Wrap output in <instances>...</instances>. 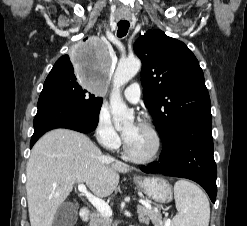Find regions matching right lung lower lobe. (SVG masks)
<instances>
[{
	"label": "right lung lower lobe",
	"instance_id": "98d812e1",
	"mask_svg": "<svg viewBox=\"0 0 247 226\" xmlns=\"http://www.w3.org/2000/svg\"><path fill=\"white\" fill-rule=\"evenodd\" d=\"M99 114L85 110L55 91L42 90L38 100V111L34 118V134L30 148L47 131L67 128L82 133L93 131Z\"/></svg>",
	"mask_w": 247,
	"mask_h": 226
}]
</instances>
